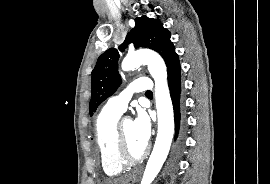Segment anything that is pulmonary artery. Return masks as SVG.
I'll return each instance as SVG.
<instances>
[{
  "mask_svg": "<svg viewBox=\"0 0 270 184\" xmlns=\"http://www.w3.org/2000/svg\"><path fill=\"white\" fill-rule=\"evenodd\" d=\"M152 83L148 78L142 77L134 80L130 85L119 95L110 98L106 106L118 113H123L127 109L129 100L133 93L150 91Z\"/></svg>",
  "mask_w": 270,
  "mask_h": 184,
  "instance_id": "pulmonary-artery-1",
  "label": "pulmonary artery"
}]
</instances>
